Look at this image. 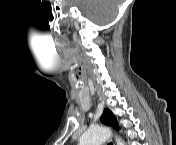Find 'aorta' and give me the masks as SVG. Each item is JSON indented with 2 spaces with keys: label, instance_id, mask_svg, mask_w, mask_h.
Here are the masks:
<instances>
[{
  "label": "aorta",
  "instance_id": "762f6f07",
  "mask_svg": "<svg viewBox=\"0 0 176 145\" xmlns=\"http://www.w3.org/2000/svg\"><path fill=\"white\" fill-rule=\"evenodd\" d=\"M110 135L111 131L107 127H91L80 137L79 143L80 145H103ZM117 144L124 145V142L118 138Z\"/></svg>",
  "mask_w": 176,
  "mask_h": 145
}]
</instances>
